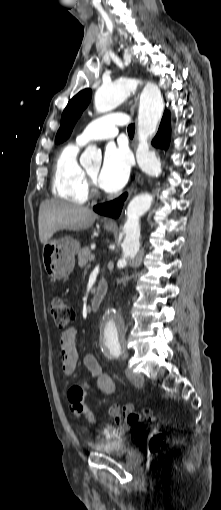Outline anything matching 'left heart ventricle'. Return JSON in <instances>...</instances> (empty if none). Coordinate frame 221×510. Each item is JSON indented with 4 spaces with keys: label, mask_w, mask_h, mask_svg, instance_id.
<instances>
[{
    "label": "left heart ventricle",
    "mask_w": 221,
    "mask_h": 510,
    "mask_svg": "<svg viewBox=\"0 0 221 510\" xmlns=\"http://www.w3.org/2000/svg\"><path fill=\"white\" fill-rule=\"evenodd\" d=\"M88 174L95 180L98 178L99 167L92 168L87 171Z\"/></svg>",
    "instance_id": "b2bd125f"
}]
</instances>
